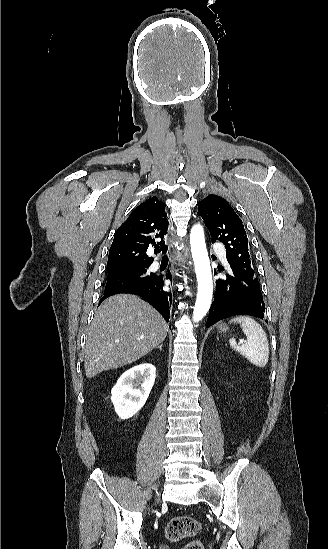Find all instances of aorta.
<instances>
[{"label":"aorta","mask_w":328,"mask_h":549,"mask_svg":"<svg viewBox=\"0 0 328 549\" xmlns=\"http://www.w3.org/2000/svg\"><path fill=\"white\" fill-rule=\"evenodd\" d=\"M190 245L198 282L193 321L199 322L207 314L213 296V281L203 227L196 224L190 232Z\"/></svg>","instance_id":"762f6f07"}]
</instances>
